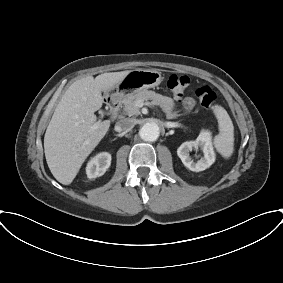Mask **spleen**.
I'll return each instance as SVG.
<instances>
[{"instance_id": "obj_1", "label": "spleen", "mask_w": 283, "mask_h": 283, "mask_svg": "<svg viewBox=\"0 0 283 283\" xmlns=\"http://www.w3.org/2000/svg\"><path fill=\"white\" fill-rule=\"evenodd\" d=\"M218 120L219 134L214 138V146L224 158L231 157L234 151V126L227 111L219 105L213 107Z\"/></svg>"}]
</instances>
